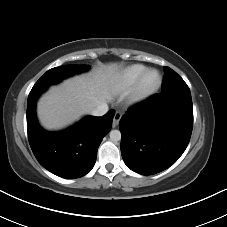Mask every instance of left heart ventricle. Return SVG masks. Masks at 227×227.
Here are the masks:
<instances>
[{
	"mask_svg": "<svg viewBox=\"0 0 227 227\" xmlns=\"http://www.w3.org/2000/svg\"><path fill=\"white\" fill-rule=\"evenodd\" d=\"M156 80H157V75L155 73H151L147 76L145 80V85L151 86L156 82Z\"/></svg>",
	"mask_w": 227,
	"mask_h": 227,
	"instance_id": "1",
	"label": "left heart ventricle"
}]
</instances>
